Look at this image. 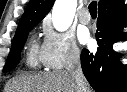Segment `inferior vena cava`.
<instances>
[{"mask_svg": "<svg viewBox=\"0 0 127 92\" xmlns=\"http://www.w3.org/2000/svg\"><path fill=\"white\" fill-rule=\"evenodd\" d=\"M67 72L72 76L76 83L77 92H86L88 83L83 75L81 63H80V52L78 49H71L70 55L67 61Z\"/></svg>", "mask_w": 127, "mask_h": 92, "instance_id": "602c4592", "label": "inferior vena cava"}]
</instances>
